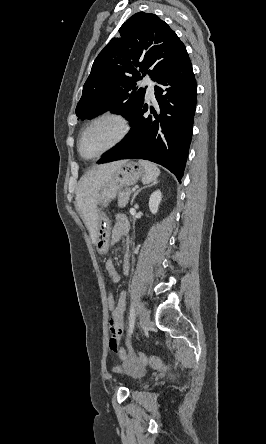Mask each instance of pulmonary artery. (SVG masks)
Returning <instances> with one entry per match:
<instances>
[{
  "label": "pulmonary artery",
  "mask_w": 266,
  "mask_h": 444,
  "mask_svg": "<svg viewBox=\"0 0 266 444\" xmlns=\"http://www.w3.org/2000/svg\"><path fill=\"white\" fill-rule=\"evenodd\" d=\"M141 85L143 87H146V96L148 98H153L154 92H155L154 91V82L150 78L146 77L142 80Z\"/></svg>",
  "instance_id": "1"
}]
</instances>
